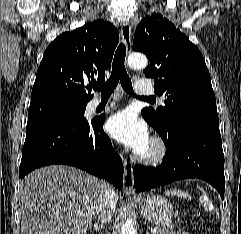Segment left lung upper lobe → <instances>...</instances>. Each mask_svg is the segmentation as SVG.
I'll list each match as a JSON object with an SVG mask.
<instances>
[{
	"label": "left lung upper lobe",
	"instance_id": "1",
	"mask_svg": "<svg viewBox=\"0 0 241 234\" xmlns=\"http://www.w3.org/2000/svg\"><path fill=\"white\" fill-rule=\"evenodd\" d=\"M133 50L148 57L146 77L154 78L157 95H165L164 106L144 108L143 118L169 142L184 124L219 127L216 99L210 74L199 49L168 19L154 13L137 26Z\"/></svg>",
	"mask_w": 241,
	"mask_h": 234
}]
</instances>
